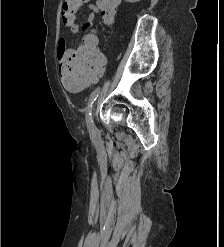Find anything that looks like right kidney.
<instances>
[{
  "instance_id": "ca27d5eb",
  "label": "right kidney",
  "mask_w": 224,
  "mask_h": 247,
  "mask_svg": "<svg viewBox=\"0 0 224 247\" xmlns=\"http://www.w3.org/2000/svg\"><path fill=\"white\" fill-rule=\"evenodd\" d=\"M125 2H140V0H125Z\"/></svg>"
}]
</instances>
